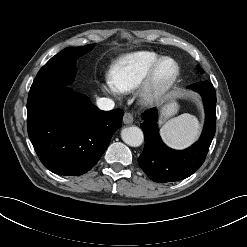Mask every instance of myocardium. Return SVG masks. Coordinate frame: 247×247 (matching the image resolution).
<instances>
[{"label": "myocardium", "instance_id": "obj_1", "mask_svg": "<svg viewBox=\"0 0 247 247\" xmlns=\"http://www.w3.org/2000/svg\"><path fill=\"white\" fill-rule=\"evenodd\" d=\"M164 62H171L174 66V72L165 81L160 82L157 79V74L160 66ZM180 75L179 64L171 57H161L151 67L145 78L139 84L138 99L143 105L153 104L162 98L170 88L176 83Z\"/></svg>", "mask_w": 247, "mask_h": 247}]
</instances>
